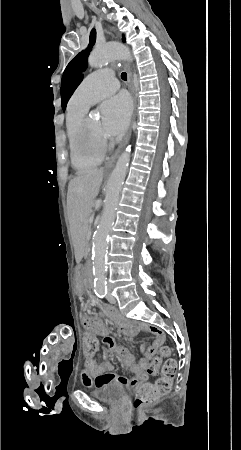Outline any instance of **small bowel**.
Here are the masks:
<instances>
[{
  "instance_id": "obj_1",
  "label": "small bowel",
  "mask_w": 241,
  "mask_h": 450,
  "mask_svg": "<svg viewBox=\"0 0 241 450\" xmlns=\"http://www.w3.org/2000/svg\"><path fill=\"white\" fill-rule=\"evenodd\" d=\"M80 314L82 318H85V333H93L94 338H96V334L102 335V342L104 345L102 351L103 361L101 363L96 362L95 356L92 361H85L82 382L86 387L108 389L112 386H126L135 388L149 379L150 375L153 374L149 371V365L153 360L157 349L162 346L165 341L163 329L156 325L136 320H125L119 324L120 331L129 338L137 335L141 330L152 336V340L149 344L143 343L141 345V358L136 362L135 356L128 348L118 346L115 340L107 334L106 325L102 321L91 318L93 314L91 309H82ZM109 351L114 352L119 357L120 361L130 369L134 376L126 377L114 373L112 371L113 365L108 360Z\"/></svg>"
}]
</instances>
